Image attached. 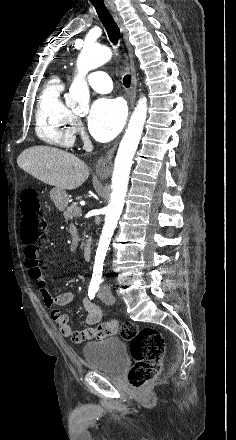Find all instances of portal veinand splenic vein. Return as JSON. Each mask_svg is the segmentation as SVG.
<instances>
[{
  "instance_id": "1",
  "label": "portal vein and splenic vein",
  "mask_w": 236,
  "mask_h": 440,
  "mask_svg": "<svg viewBox=\"0 0 236 440\" xmlns=\"http://www.w3.org/2000/svg\"><path fill=\"white\" fill-rule=\"evenodd\" d=\"M77 213H78V214H81V209H78V210H77Z\"/></svg>"
}]
</instances>
